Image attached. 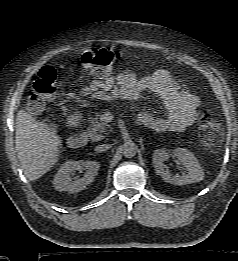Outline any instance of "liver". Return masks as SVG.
Returning <instances> with one entry per match:
<instances>
[{"label": "liver", "mask_w": 238, "mask_h": 261, "mask_svg": "<svg viewBox=\"0 0 238 261\" xmlns=\"http://www.w3.org/2000/svg\"><path fill=\"white\" fill-rule=\"evenodd\" d=\"M61 141L42 122L23 109L16 116L15 148L25 176L39 179L58 161Z\"/></svg>", "instance_id": "liver-1"}]
</instances>
